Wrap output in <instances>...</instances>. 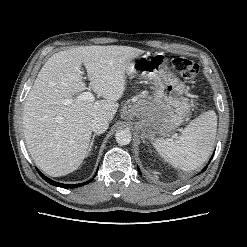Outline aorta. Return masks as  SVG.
I'll use <instances>...</instances> for the list:
<instances>
[{"label":"aorta","instance_id":"obj_1","mask_svg":"<svg viewBox=\"0 0 247 247\" xmlns=\"http://www.w3.org/2000/svg\"><path fill=\"white\" fill-rule=\"evenodd\" d=\"M115 139L120 145H128L131 142L132 134L128 129H121L116 132Z\"/></svg>","mask_w":247,"mask_h":247}]
</instances>
